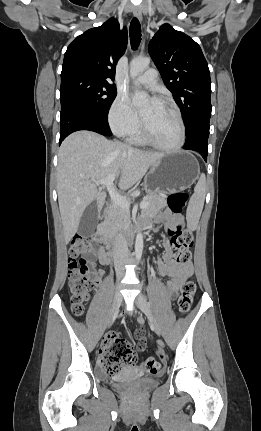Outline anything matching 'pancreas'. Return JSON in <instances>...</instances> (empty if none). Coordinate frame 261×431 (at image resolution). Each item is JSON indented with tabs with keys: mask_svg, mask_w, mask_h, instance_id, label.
<instances>
[{
	"mask_svg": "<svg viewBox=\"0 0 261 431\" xmlns=\"http://www.w3.org/2000/svg\"><path fill=\"white\" fill-rule=\"evenodd\" d=\"M143 201L149 203V206L142 210V214H152L160 211L167 205L166 196L162 194H150L144 197ZM129 221V210L112 204L110 206L106 218L105 226L109 232L122 229Z\"/></svg>",
	"mask_w": 261,
	"mask_h": 431,
	"instance_id": "pancreas-1",
	"label": "pancreas"
}]
</instances>
